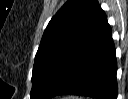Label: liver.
<instances>
[{
	"instance_id": "1",
	"label": "liver",
	"mask_w": 128,
	"mask_h": 99,
	"mask_svg": "<svg viewBox=\"0 0 128 99\" xmlns=\"http://www.w3.org/2000/svg\"><path fill=\"white\" fill-rule=\"evenodd\" d=\"M68 99H76V98H74V97H69Z\"/></svg>"
}]
</instances>
